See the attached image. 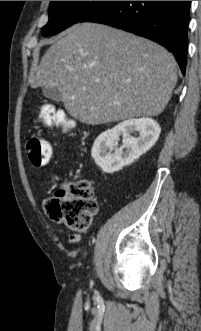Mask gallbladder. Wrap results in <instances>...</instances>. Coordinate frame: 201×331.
I'll use <instances>...</instances> for the list:
<instances>
[{
    "mask_svg": "<svg viewBox=\"0 0 201 331\" xmlns=\"http://www.w3.org/2000/svg\"><path fill=\"white\" fill-rule=\"evenodd\" d=\"M42 92H43L44 97H46L47 99L57 101V102H61L63 100L62 94L57 87H53V86L44 87Z\"/></svg>",
    "mask_w": 201,
    "mask_h": 331,
    "instance_id": "1",
    "label": "gallbladder"
}]
</instances>
